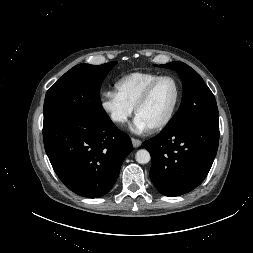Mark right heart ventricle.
<instances>
[{
  "label": "right heart ventricle",
  "mask_w": 253,
  "mask_h": 253,
  "mask_svg": "<svg viewBox=\"0 0 253 253\" xmlns=\"http://www.w3.org/2000/svg\"><path fill=\"white\" fill-rule=\"evenodd\" d=\"M159 76L153 72H133L120 78L115 83V93L132 109L145 89Z\"/></svg>",
  "instance_id": "1"
}]
</instances>
